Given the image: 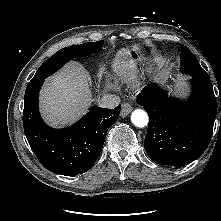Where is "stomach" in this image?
Instances as JSON below:
<instances>
[{
	"label": "stomach",
	"instance_id": "obj_1",
	"mask_svg": "<svg viewBox=\"0 0 221 221\" xmlns=\"http://www.w3.org/2000/svg\"><path fill=\"white\" fill-rule=\"evenodd\" d=\"M128 56L132 62L139 63L141 66H148L149 71L155 63L154 56L151 52L146 53L145 48L139 44H133L128 49Z\"/></svg>",
	"mask_w": 221,
	"mask_h": 221
}]
</instances>
